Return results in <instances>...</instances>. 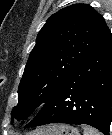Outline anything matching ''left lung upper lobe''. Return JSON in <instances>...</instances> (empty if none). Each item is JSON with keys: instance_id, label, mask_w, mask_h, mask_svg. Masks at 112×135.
<instances>
[{"instance_id": "obj_1", "label": "left lung upper lobe", "mask_w": 112, "mask_h": 135, "mask_svg": "<svg viewBox=\"0 0 112 135\" xmlns=\"http://www.w3.org/2000/svg\"><path fill=\"white\" fill-rule=\"evenodd\" d=\"M108 30L104 18L87 4H73L53 14L29 55L11 117L25 119L44 104Z\"/></svg>"}]
</instances>
